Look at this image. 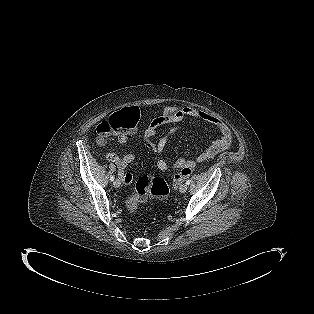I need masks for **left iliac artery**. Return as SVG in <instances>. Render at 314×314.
I'll return each mask as SVG.
<instances>
[{"label": "left iliac artery", "instance_id": "obj_1", "mask_svg": "<svg viewBox=\"0 0 314 314\" xmlns=\"http://www.w3.org/2000/svg\"><path fill=\"white\" fill-rule=\"evenodd\" d=\"M190 183H191V180L188 179V180L186 181V184L189 185Z\"/></svg>", "mask_w": 314, "mask_h": 314}]
</instances>
